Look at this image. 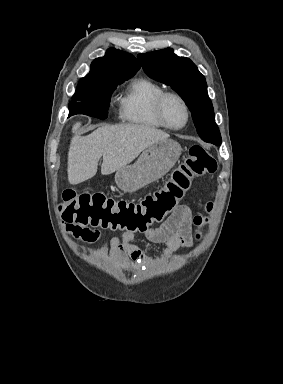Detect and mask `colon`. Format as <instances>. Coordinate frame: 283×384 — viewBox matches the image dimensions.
Instances as JSON below:
<instances>
[{
    "label": "colon",
    "instance_id": "5ec220e1",
    "mask_svg": "<svg viewBox=\"0 0 283 384\" xmlns=\"http://www.w3.org/2000/svg\"><path fill=\"white\" fill-rule=\"evenodd\" d=\"M216 169V160L209 151L203 146L193 145L184 164L173 173L162 189L147 194L139 201L116 200L101 193L67 189L62 194L59 207L61 218L67 226L146 232L177 208L194 178L212 174ZM212 207V203L207 202L203 205V210L209 213ZM194 223L197 226L204 225L205 216L197 215Z\"/></svg>",
    "mask_w": 283,
    "mask_h": 384
}]
</instances>
